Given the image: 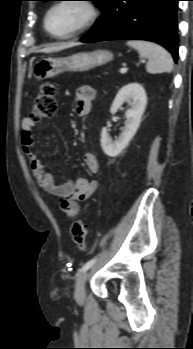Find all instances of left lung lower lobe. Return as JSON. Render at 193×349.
Here are the masks:
<instances>
[{
    "instance_id": "obj_1",
    "label": "left lung lower lobe",
    "mask_w": 193,
    "mask_h": 349,
    "mask_svg": "<svg viewBox=\"0 0 193 349\" xmlns=\"http://www.w3.org/2000/svg\"><path fill=\"white\" fill-rule=\"evenodd\" d=\"M179 0H107L102 17L82 37L84 43L140 39L156 42L178 59Z\"/></svg>"
}]
</instances>
